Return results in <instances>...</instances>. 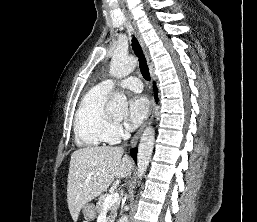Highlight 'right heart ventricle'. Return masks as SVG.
Wrapping results in <instances>:
<instances>
[{
    "label": "right heart ventricle",
    "instance_id": "e07e8e85",
    "mask_svg": "<svg viewBox=\"0 0 257 222\" xmlns=\"http://www.w3.org/2000/svg\"><path fill=\"white\" fill-rule=\"evenodd\" d=\"M109 92L92 88L81 100L74 120L75 140L79 146L96 148L108 141L111 119L106 112Z\"/></svg>",
    "mask_w": 257,
    "mask_h": 222
}]
</instances>
